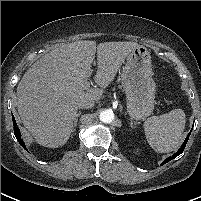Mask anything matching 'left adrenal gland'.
Returning <instances> with one entry per match:
<instances>
[{
  "mask_svg": "<svg viewBox=\"0 0 201 201\" xmlns=\"http://www.w3.org/2000/svg\"><path fill=\"white\" fill-rule=\"evenodd\" d=\"M130 127H131V128H135V127H136V124H134V123L132 122V120L130 121Z\"/></svg>",
  "mask_w": 201,
  "mask_h": 201,
  "instance_id": "obj_1",
  "label": "left adrenal gland"
}]
</instances>
